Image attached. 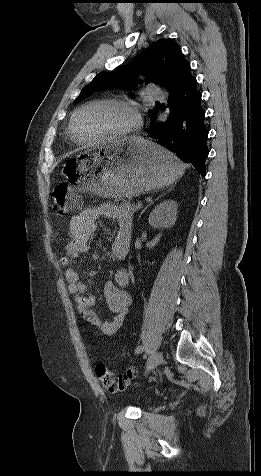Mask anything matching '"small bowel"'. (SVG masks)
<instances>
[{
    "label": "small bowel",
    "mask_w": 261,
    "mask_h": 476,
    "mask_svg": "<svg viewBox=\"0 0 261 476\" xmlns=\"http://www.w3.org/2000/svg\"><path fill=\"white\" fill-rule=\"evenodd\" d=\"M100 218H111L116 221L117 231L112 244V255L118 260L125 258L131 242V215L115 205L102 204L86 208L72 218L69 239L65 245V255L60 258L59 262L65 269L64 275L68 283V292L75 309L84 320L101 333L111 335L121 327L132 303L130 293L125 290L130 282L128 271L118 269L115 273V281L105 285V300L113 316L109 320H103L93 310L94 296L88 293L87 287L81 281L79 271L73 267L77 258L89 250V240L97 232V220Z\"/></svg>",
    "instance_id": "small-bowel-1"
}]
</instances>
